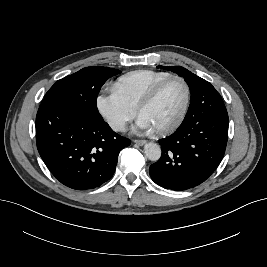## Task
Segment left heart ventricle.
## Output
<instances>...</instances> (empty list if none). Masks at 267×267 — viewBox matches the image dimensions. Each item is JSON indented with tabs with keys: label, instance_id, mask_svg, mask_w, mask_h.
Instances as JSON below:
<instances>
[{
	"label": "left heart ventricle",
	"instance_id": "left-heart-ventricle-1",
	"mask_svg": "<svg viewBox=\"0 0 267 267\" xmlns=\"http://www.w3.org/2000/svg\"><path fill=\"white\" fill-rule=\"evenodd\" d=\"M185 99L183 84L178 80L169 81L157 98L140 115L144 116L153 129L167 126L179 116Z\"/></svg>",
	"mask_w": 267,
	"mask_h": 267
}]
</instances>
